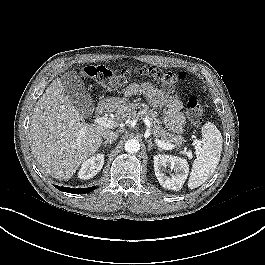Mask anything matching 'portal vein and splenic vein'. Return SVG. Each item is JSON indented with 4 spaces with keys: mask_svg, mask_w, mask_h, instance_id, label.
Instances as JSON below:
<instances>
[{
    "mask_svg": "<svg viewBox=\"0 0 265 265\" xmlns=\"http://www.w3.org/2000/svg\"><path fill=\"white\" fill-rule=\"evenodd\" d=\"M94 123L98 124V125H101V126H103L105 128H109V129H112L113 127H115L114 122L112 120H110L109 118H107V117H97L94 120ZM81 134H83V131H81ZM155 142L160 148H162L164 150H171V149L175 148V145L165 143V142H163V141H161L159 139H155ZM195 144L197 145V147H199L200 146V141L196 140Z\"/></svg>",
    "mask_w": 265,
    "mask_h": 265,
    "instance_id": "18ae733b",
    "label": "portal vein and splenic vein"
}]
</instances>
